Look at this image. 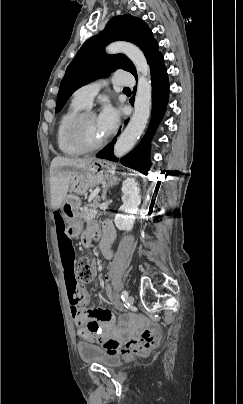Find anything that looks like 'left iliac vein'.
Wrapping results in <instances>:
<instances>
[{
    "mask_svg": "<svg viewBox=\"0 0 243 404\" xmlns=\"http://www.w3.org/2000/svg\"><path fill=\"white\" fill-rule=\"evenodd\" d=\"M127 303L128 305H133L134 303V297L132 295H130L129 297H127Z\"/></svg>",
    "mask_w": 243,
    "mask_h": 404,
    "instance_id": "obj_1",
    "label": "left iliac vein"
}]
</instances>
